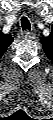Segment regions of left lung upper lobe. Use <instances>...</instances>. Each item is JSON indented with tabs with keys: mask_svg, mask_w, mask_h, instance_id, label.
I'll return each instance as SVG.
<instances>
[{
	"mask_svg": "<svg viewBox=\"0 0 53 120\" xmlns=\"http://www.w3.org/2000/svg\"><path fill=\"white\" fill-rule=\"evenodd\" d=\"M42 45L44 46V51L46 55L52 59L53 57V38L52 34L49 37H44L41 39Z\"/></svg>",
	"mask_w": 53,
	"mask_h": 120,
	"instance_id": "1",
	"label": "left lung upper lobe"
}]
</instances>
